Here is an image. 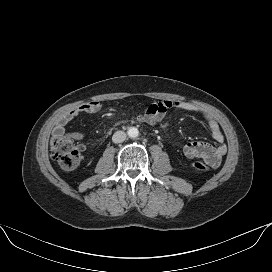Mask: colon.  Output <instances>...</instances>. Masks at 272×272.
<instances>
[{"instance_id": "1", "label": "colon", "mask_w": 272, "mask_h": 272, "mask_svg": "<svg viewBox=\"0 0 272 272\" xmlns=\"http://www.w3.org/2000/svg\"><path fill=\"white\" fill-rule=\"evenodd\" d=\"M155 124L160 128H166L169 124V118L166 115L157 117ZM50 154L52 159L64 170L77 168L83 158L73 138L67 134H59L52 137L50 142ZM191 166L200 171H206L209 168L203 161H195Z\"/></svg>"}]
</instances>
